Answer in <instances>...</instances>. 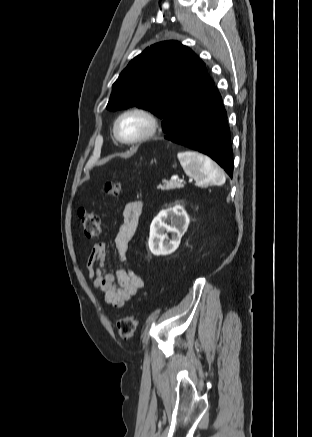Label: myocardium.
Masks as SVG:
<instances>
[{
	"mask_svg": "<svg viewBox=\"0 0 312 437\" xmlns=\"http://www.w3.org/2000/svg\"><path fill=\"white\" fill-rule=\"evenodd\" d=\"M128 115H140L148 121L147 130L142 135L133 139L124 138L119 131V126L122 119ZM158 128H159L158 118L150 110L142 107H132L124 110L118 115V117L114 122L113 130H114L115 137L118 139L119 142L127 145H135L152 138L158 131Z\"/></svg>",
	"mask_w": 312,
	"mask_h": 437,
	"instance_id": "f54148a6",
	"label": "myocardium"
}]
</instances>
